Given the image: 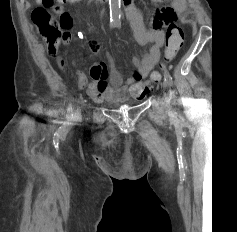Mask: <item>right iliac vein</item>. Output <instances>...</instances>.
Wrapping results in <instances>:
<instances>
[{"mask_svg": "<svg viewBox=\"0 0 237 232\" xmlns=\"http://www.w3.org/2000/svg\"><path fill=\"white\" fill-rule=\"evenodd\" d=\"M80 116H81L80 110L77 109L76 112H75L74 118H75V119H79Z\"/></svg>", "mask_w": 237, "mask_h": 232, "instance_id": "obj_1", "label": "right iliac vein"}]
</instances>
